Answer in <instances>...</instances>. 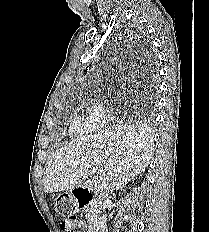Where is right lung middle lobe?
Instances as JSON below:
<instances>
[{
	"label": "right lung middle lobe",
	"instance_id": "obj_1",
	"mask_svg": "<svg viewBox=\"0 0 209 232\" xmlns=\"http://www.w3.org/2000/svg\"><path fill=\"white\" fill-rule=\"evenodd\" d=\"M152 71H153V68H152ZM154 92L155 94V89L154 87H152V93ZM151 104L148 108V111L146 112V118H147V121H148V124L151 126V124L153 123V106H154V100H153V96H152V100L150 101Z\"/></svg>",
	"mask_w": 209,
	"mask_h": 232
}]
</instances>
